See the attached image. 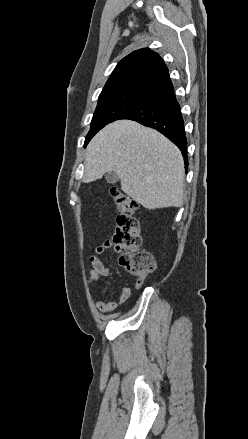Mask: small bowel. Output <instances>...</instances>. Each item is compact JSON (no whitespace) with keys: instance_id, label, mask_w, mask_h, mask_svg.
Listing matches in <instances>:
<instances>
[{"instance_id":"small-bowel-1","label":"small bowel","mask_w":248,"mask_h":439,"mask_svg":"<svg viewBox=\"0 0 248 439\" xmlns=\"http://www.w3.org/2000/svg\"><path fill=\"white\" fill-rule=\"evenodd\" d=\"M109 248H111V243L106 242L97 247L89 257L90 269L87 272V283L90 287L94 286L101 277H106L111 273V267L105 266L101 260V255ZM136 287L139 288L140 286L136 285ZM130 295L131 289L123 287L115 300L104 301L102 299H94V304L101 313H107L123 305L130 298Z\"/></svg>"}]
</instances>
